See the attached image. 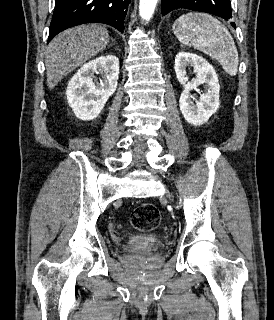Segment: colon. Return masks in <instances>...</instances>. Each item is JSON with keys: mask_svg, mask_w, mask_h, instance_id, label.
Returning <instances> with one entry per match:
<instances>
[{"mask_svg": "<svg viewBox=\"0 0 274 320\" xmlns=\"http://www.w3.org/2000/svg\"><path fill=\"white\" fill-rule=\"evenodd\" d=\"M161 213L150 202L137 205L131 214V224L137 231H151L161 223Z\"/></svg>", "mask_w": 274, "mask_h": 320, "instance_id": "5ec220e1", "label": "colon"}]
</instances>
